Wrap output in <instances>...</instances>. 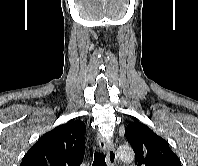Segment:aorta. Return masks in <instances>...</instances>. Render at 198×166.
<instances>
[{
    "mask_svg": "<svg viewBox=\"0 0 198 166\" xmlns=\"http://www.w3.org/2000/svg\"><path fill=\"white\" fill-rule=\"evenodd\" d=\"M117 156L124 162H131L134 159V151L129 146H120L117 149Z\"/></svg>",
    "mask_w": 198,
    "mask_h": 166,
    "instance_id": "1",
    "label": "aorta"
}]
</instances>
